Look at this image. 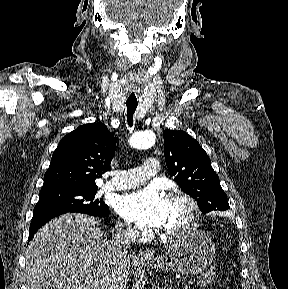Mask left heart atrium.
Listing matches in <instances>:
<instances>
[{
    "label": "left heart atrium",
    "instance_id": "1",
    "mask_svg": "<svg viewBox=\"0 0 288 289\" xmlns=\"http://www.w3.org/2000/svg\"><path fill=\"white\" fill-rule=\"evenodd\" d=\"M115 208L126 220L141 226L160 227L166 221L167 199L157 186L120 196Z\"/></svg>",
    "mask_w": 288,
    "mask_h": 289
}]
</instances>
